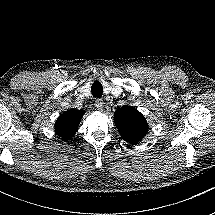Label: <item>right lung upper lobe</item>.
Wrapping results in <instances>:
<instances>
[{
    "label": "right lung upper lobe",
    "instance_id": "1",
    "mask_svg": "<svg viewBox=\"0 0 215 215\" xmlns=\"http://www.w3.org/2000/svg\"><path fill=\"white\" fill-rule=\"evenodd\" d=\"M84 110H68L61 114L55 123L56 134L64 140H70L77 132Z\"/></svg>",
    "mask_w": 215,
    "mask_h": 215
}]
</instances>
